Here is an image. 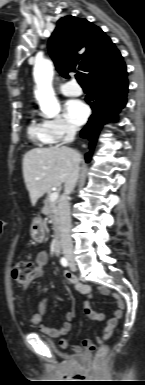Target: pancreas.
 <instances>
[{
	"mask_svg": "<svg viewBox=\"0 0 145 385\" xmlns=\"http://www.w3.org/2000/svg\"><path fill=\"white\" fill-rule=\"evenodd\" d=\"M51 193H48V196L44 200V206L42 213L51 219L53 223V230L55 231L56 236L59 233V216H58V206L57 201L51 202L49 199Z\"/></svg>",
	"mask_w": 145,
	"mask_h": 385,
	"instance_id": "1",
	"label": "pancreas"
}]
</instances>
